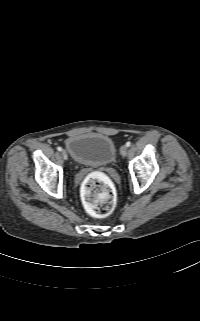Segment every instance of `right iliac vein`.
Listing matches in <instances>:
<instances>
[{
	"mask_svg": "<svg viewBox=\"0 0 200 321\" xmlns=\"http://www.w3.org/2000/svg\"><path fill=\"white\" fill-rule=\"evenodd\" d=\"M62 157L66 160L67 159V153L65 150L61 151Z\"/></svg>",
	"mask_w": 200,
	"mask_h": 321,
	"instance_id": "obj_1",
	"label": "right iliac vein"
}]
</instances>
